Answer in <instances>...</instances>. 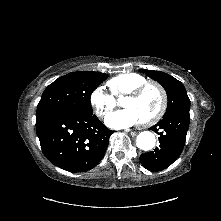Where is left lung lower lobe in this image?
I'll return each instance as SVG.
<instances>
[{"instance_id":"0a47b994","label":"left lung lower lobe","mask_w":221,"mask_h":221,"mask_svg":"<svg viewBox=\"0 0 221 221\" xmlns=\"http://www.w3.org/2000/svg\"><path fill=\"white\" fill-rule=\"evenodd\" d=\"M189 110H176L167 113L150 129L160 135L159 147L140 156L141 164L152 172L169 167L180 156L189 128Z\"/></svg>"}]
</instances>
